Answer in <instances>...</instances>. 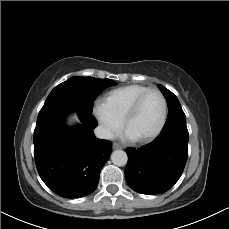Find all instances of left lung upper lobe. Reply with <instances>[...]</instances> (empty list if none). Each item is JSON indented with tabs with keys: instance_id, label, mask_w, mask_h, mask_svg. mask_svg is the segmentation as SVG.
Listing matches in <instances>:
<instances>
[{
	"instance_id": "5c2ea615",
	"label": "left lung upper lobe",
	"mask_w": 229,
	"mask_h": 229,
	"mask_svg": "<svg viewBox=\"0 0 229 229\" xmlns=\"http://www.w3.org/2000/svg\"><path fill=\"white\" fill-rule=\"evenodd\" d=\"M161 92L167 99L169 113L163 130L174 127L178 124H186V116L182 110L181 104L178 98L167 88L162 85H158Z\"/></svg>"
}]
</instances>
